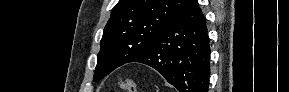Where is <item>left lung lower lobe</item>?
<instances>
[{
  "label": "left lung lower lobe",
  "mask_w": 289,
  "mask_h": 92,
  "mask_svg": "<svg viewBox=\"0 0 289 92\" xmlns=\"http://www.w3.org/2000/svg\"><path fill=\"white\" fill-rule=\"evenodd\" d=\"M210 45L206 20L190 0L154 43L130 62L153 67L179 92H208Z\"/></svg>",
  "instance_id": "1"
}]
</instances>
